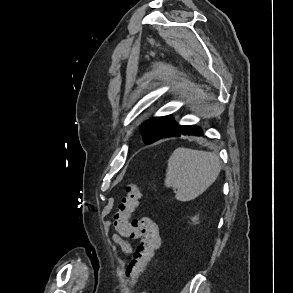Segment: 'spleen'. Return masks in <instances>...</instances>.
<instances>
[{
	"instance_id": "3e777b00",
	"label": "spleen",
	"mask_w": 293,
	"mask_h": 293,
	"mask_svg": "<svg viewBox=\"0 0 293 293\" xmlns=\"http://www.w3.org/2000/svg\"><path fill=\"white\" fill-rule=\"evenodd\" d=\"M220 170L215 152L177 148L168 160L164 185L177 189V200L191 201L215 182Z\"/></svg>"
}]
</instances>
